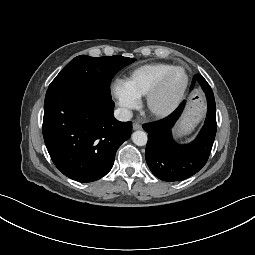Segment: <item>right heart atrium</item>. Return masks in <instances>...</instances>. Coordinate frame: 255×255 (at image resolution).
<instances>
[{
	"mask_svg": "<svg viewBox=\"0 0 255 255\" xmlns=\"http://www.w3.org/2000/svg\"><path fill=\"white\" fill-rule=\"evenodd\" d=\"M111 90L118 105L123 110L129 111L138 106L140 97L131 90L126 81L115 80Z\"/></svg>",
	"mask_w": 255,
	"mask_h": 255,
	"instance_id": "obj_1",
	"label": "right heart atrium"
}]
</instances>
